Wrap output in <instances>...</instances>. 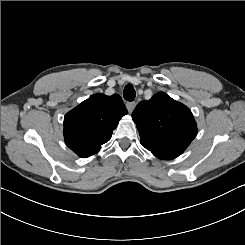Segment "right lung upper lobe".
<instances>
[{
    "instance_id": "1",
    "label": "right lung upper lobe",
    "mask_w": 245,
    "mask_h": 245,
    "mask_svg": "<svg viewBox=\"0 0 245 245\" xmlns=\"http://www.w3.org/2000/svg\"><path fill=\"white\" fill-rule=\"evenodd\" d=\"M128 111L118 94H95L64 117L66 145L79 157L97 153L108 142L119 120Z\"/></svg>"
}]
</instances>
